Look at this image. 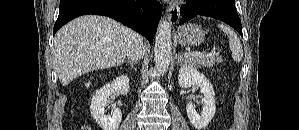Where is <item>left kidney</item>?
<instances>
[{"label": "left kidney", "instance_id": "1", "mask_svg": "<svg viewBox=\"0 0 299 130\" xmlns=\"http://www.w3.org/2000/svg\"><path fill=\"white\" fill-rule=\"evenodd\" d=\"M179 85L182 88H189L196 85L203 94V111L198 114L192 103H187L186 111L191 124L197 129L202 130L212 120L216 106L215 93L209 80L197 69L190 65H183L179 70Z\"/></svg>", "mask_w": 299, "mask_h": 130}]
</instances>
